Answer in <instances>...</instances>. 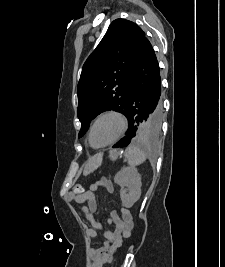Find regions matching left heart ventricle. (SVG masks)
<instances>
[{
	"instance_id": "b2bd125f",
	"label": "left heart ventricle",
	"mask_w": 225,
	"mask_h": 267,
	"mask_svg": "<svg viewBox=\"0 0 225 267\" xmlns=\"http://www.w3.org/2000/svg\"><path fill=\"white\" fill-rule=\"evenodd\" d=\"M121 128L120 120L115 116L101 118L94 126L91 140L95 146L103 145L115 138Z\"/></svg>"
}]
</instances>
